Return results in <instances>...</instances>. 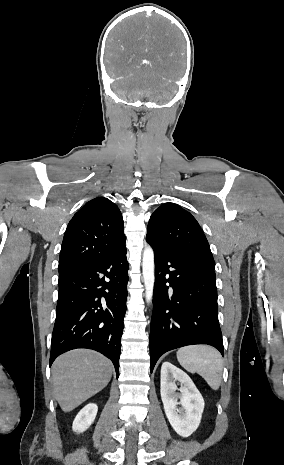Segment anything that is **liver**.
<instances>
[{
  "label": "liver",
  "instance_id": "6515ba94",
  "mask_svg": "<svg viewBox=\"0 0 284 465\" xmlns=\"http://www.w3.org/2000/svg\"><path fill=\"white\" fill-rule=\"evenodd\" d=\"M112 363L100 353L77 349L56 359L52 367L54 397L64 413L102 391L112 377Z\"/></svg>",
  "mask_w": 284,
  "mask_h": 465
}]
</instances>
